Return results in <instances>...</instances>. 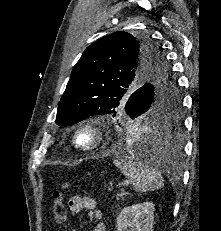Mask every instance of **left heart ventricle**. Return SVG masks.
<instances>
[{
	"label": "left heart ventricle",
	"instance_id": "1",
	"mask_svg": "<svg viewBox=\"0 0 221 231\" xmlns=\"http://www.w3.org/2000/svg\"><path fill=\"white\" fill-rule=\"evenodd\" d=\"M91 141V136L89 133L87 132H84L81 134L80 136V142L83 143V144H87Z\"/></svg>",
	"mask_w": 221,
	"mask_h": 231
}]
</instances>
